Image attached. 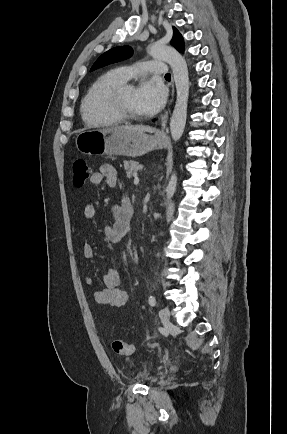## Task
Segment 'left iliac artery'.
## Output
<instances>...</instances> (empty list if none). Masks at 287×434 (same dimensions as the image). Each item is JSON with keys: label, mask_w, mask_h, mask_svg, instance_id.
<instances>
[{"label": "left iliac artery", "mask_w": 287, "mask_h": 434, "mask_svg": "<svg viewBox=\"0 0 287 434\" xmlns=\"http://www.w3.org/2000/svg\"><path fill=\"white\" fill-rule=\"evenodd\" d=\"M148 302L151 306H155L156 305V299L154 296H150L148 299Z\"/></svg>", "instance_id": "44dca946"}]
</instances>
